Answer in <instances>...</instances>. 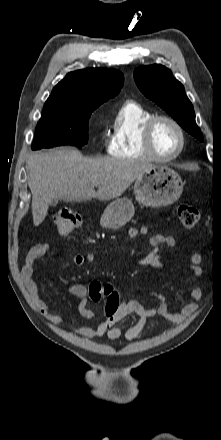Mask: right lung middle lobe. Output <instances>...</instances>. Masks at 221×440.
I'll return each instance as SVG.
<instances>
[{"label": "right lung middle lobe", "instance_id": "obj_1", "mask_svg": "<svg viewBox=\"0 0 221 440\" xmlns=\"http://www.w3.org/2000/svg\"><path fill=\"white\" fill-rule=\"evenodd\" d=\"M98 105L45 103L37 124L32 150L60 145L83 146L88 141V121Z\"/></svg>", "mask_w": 221, "mask_h": 440}]
</instances>
